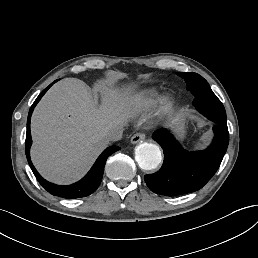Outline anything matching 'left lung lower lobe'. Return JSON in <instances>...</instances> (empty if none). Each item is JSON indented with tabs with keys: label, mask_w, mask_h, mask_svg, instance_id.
Returning <instances> with one entry per match:
<instances>
[{
	"label": "left lung lower lobe",
	"mask_w": 258,
	"mask_h": 258,
	"mask_svg": "<svg viewBox=\"0 0 258 258\" xmlns=\"http://www.w3.org/2000/svg\"><path fill=\"white\" fill-rule=\"evenodd\" d=\"M194 97L196 109L215 123L213 142L204 151L188 152L167 129L156 131L153 139L163 148V166L144 176L154 193L176 196L201 189L216 173L225 155L229 133L223 104L212 90L198 91Z\"/></svg>",
	"instance_id": "obj_1"
}]
</instances>
